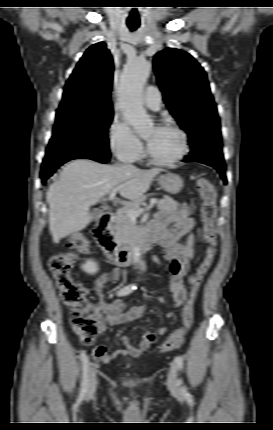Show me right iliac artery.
Returning a JSON list of instances; mask_svg holds the SVG:
<instances>
[{"instance_id": "right-iliac-artery-1", "label": "right iliac artery", "mask_w": 273, "mask_h": 430, "mask_svg": "<svg viewBox=\"0 0 273 430\" xmlns=\"http://www.w3.org/2000/svg\"><path fill=\"white\" fill-rule=\"evenodd\" d=\"M137 289V286L135 284H130L128 286L123 287L120 289L117 293L118 296H126L130 294L132 291ZM81 361H82V382H81V391H80V398H83L87 392L88 388V368H89V361L88 357L85 353V351H81Z\"/></svg>"}]
</instances>
